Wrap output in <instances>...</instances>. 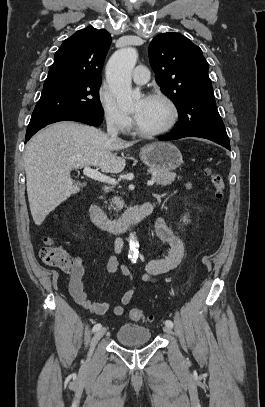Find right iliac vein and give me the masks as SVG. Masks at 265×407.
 Instances as JSON below:
<instances>
[{"label":"right iliac vein","mask_w":265,"mask_h":407,"mask_svg":"<svg viewBox=\"0 0 265 407\" xmlns=\"http://www.w3.org/2000/svg\"><path fill=\"white\" fill-rule=\"evenodd\" d=\"M106 332V328H101L99 329L93 336L92 340H91V344H90V352H89V356L92 353V350L94 349V347L96 346V344L98 343V341L103 337V335Z\"/></svg>","instance_id":"obj_1"}]
</instances>
